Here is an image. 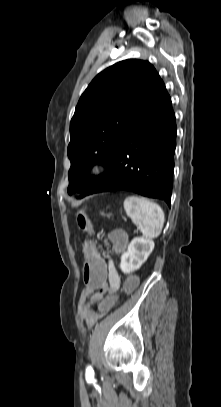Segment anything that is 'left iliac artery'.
<instances>
[{
	"label": "left iliac artery",
	"instance_id": "1",
	"mask_svg": "<svg viewBox=\"0 0 221 407\" xmlns=\"http://www.w3.org/2000/svg\"><path fill=\"white\" fill-rule=\"evenodd\" d=\"M93 376H94V371H93L91 366H88L87 369H86V377L87 378H89V377L93 378Z\"/></svg>",
	"mask_w": 221,
	"mask_h": 407
}]
</instances>
